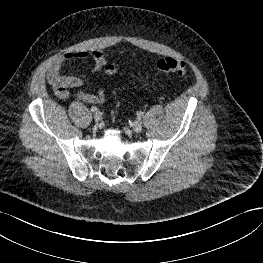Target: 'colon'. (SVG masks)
<instances>
[{"mask_svg":"<svg viewBox=\"0 0 263 263\" xmlns=\"http://www.w3.org/2000/svg\"><path fill=\"white\" fill-rule=\"evenodd\" d=\"M157 68L159 71L166 74H174L183 77L187 74L186 63L177 58L165 57L157 62ZM106 71L110 74H116L119 72V68L114 64H108Z\"/></svg>","mask_w":263,"mask_h":263,"instance_id":"5ec220e1","label":"colon"}]
</instances>
